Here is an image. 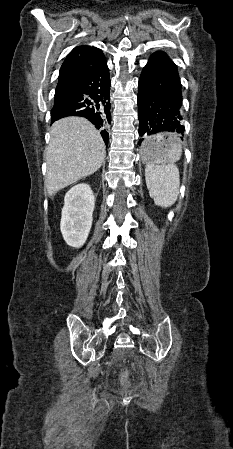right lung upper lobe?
Segmentation results:
<instances>
[{"mask_svg":"<svg viewBox=\"0 0 233 449\" xmlns=\"http://www.w3.org/2000/svg\"><path fill=\"white\" fill-rule=\"evenodd\" d=\"M101 49L81 45L74 48L63 62L56 90L79 80L105 61Z\"/></svg>","mask_w":233,"mask_h":449,"instance_id":"1","label":"right lung upper lobe"}]
</instances>
